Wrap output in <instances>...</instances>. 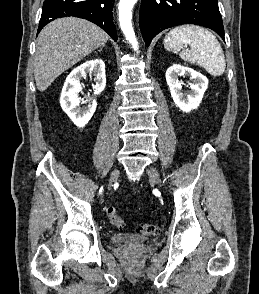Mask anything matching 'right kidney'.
<instances>
[{
	"label": "right kidney",
	"instance_id": "obj_1",
	"mask_svg": "<svg viewBox=\"0 0 259 294\" xmlns=\"http://www.w3.org/2000/svg\"><path fill=\"white\" fill-rule=\"evenodd\" d=\"M87 74L94 76V95H99L106 86L105 63L101 59L86 61L73 69L67 76L61 93V107L78 127H84L89 122L97 107V102L93 98L86 100V107H79L78 93L82 90L80 80Z\"/></svg>",
	"mask_w": 259,
	"mask_h": 294
}]
</instances>
